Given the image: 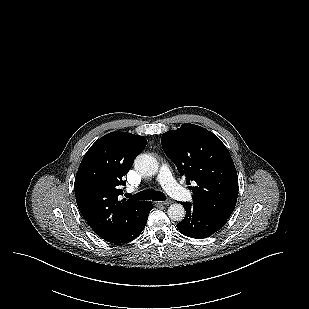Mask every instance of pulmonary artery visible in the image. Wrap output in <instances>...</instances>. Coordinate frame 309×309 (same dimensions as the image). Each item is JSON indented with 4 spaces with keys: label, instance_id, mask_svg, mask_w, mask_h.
<instances>
[{
    "label": "pulmonary artery",
    "instance_id": "e3ab8cb5",
    "mask_svg": "<svg viewBox=\"0 0 309 309\" xmlns=\"http://www.w3.org/2000/svg\"><path fill=\"white\" fill-rule=\"evenodd\" d=\"M160 181L171 197L180 201H190L192 199V193L176 182L167 165L161 167Z\"/></svg>",
    "mask_w": 309,
    "mask_h": 309
}]
</instances>
